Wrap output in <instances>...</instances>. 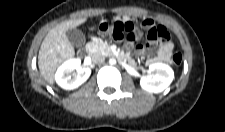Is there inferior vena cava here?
Returning a JSON list of instances; mask_svg holds the SVG:
<instances>
[{"label":"inferior vena cava","instance_id":"obj_1","mask_svg":"<svg viewBox=\"0 0 225 132\" xmlns=\"http://www.w3.org/2000/svg\"><path fill=\"white\" fill-rule=\"evenodd\" d=\"M92 60L95 64H101L105 61V57L100 54H96L92 57Z\"/></svg>","mask_w":225,"mask_h":132}]
</instances>
